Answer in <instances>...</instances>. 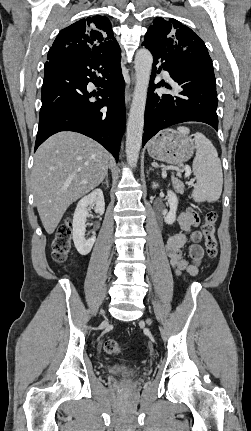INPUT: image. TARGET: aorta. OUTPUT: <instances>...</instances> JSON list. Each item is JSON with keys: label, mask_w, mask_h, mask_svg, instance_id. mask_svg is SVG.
I'll list each match as a JSON object with an SVG mask.
<instances>
[{"label": "aorta", "mask_w": 251, "mask_h": 431, "mask_svg": "<svg viewBox=\"0 0 251 431\" xmlns=\"http://www.w3.org/2000/svg\"><path fill=\"white\" fill-rule=\"evenodd\" d=\"M135 89L129 112L126 133V157L131 167H136L142 144L144 113L153 57L147 49L135 55Z\"/></svg>", "instance_id": "762f6f07"}]
</instances>
